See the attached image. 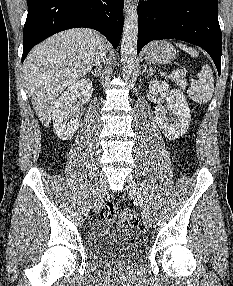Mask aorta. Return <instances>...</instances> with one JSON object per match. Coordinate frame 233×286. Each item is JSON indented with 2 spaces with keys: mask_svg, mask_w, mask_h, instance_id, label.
Listing matches in <instances>:
<instances>
[{
  "mask_svg": "<svg viewBox=\"0 0 233 286\" xmlns=\"http://www.w3.org/2000/svg\"><path fill=\"white\" fill-rule=\"evenodd\" d=\"M138 14L134 7L128 9L124 21L121 42L122 75L128 78L135 66L137 56Z\"/></svg>",
  "mask_w": 233,
  "mask_h": 286,
  "instance_id": "762f6f07",
  "label": "aorta"
}]
</instances>
